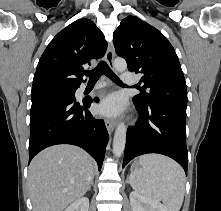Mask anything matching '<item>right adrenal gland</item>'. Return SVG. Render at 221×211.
Returning a JSON list of instances; mask_svg holds the SVG:
<instances>
[{
    "label": "right adrenal gland",
    "mask_w": 221,
    "mask_h": 211,
    "mask_svg": "<svg viewBox=\"0 0 221 211\" xmlns=\"http://www.w3.org/2000/svg\"><path fill=\"white\" fill-rule=\"evenodd\" d=\"M93 180H94V177H93V178H92V180H91V184H90L89 190H90L91 186H93V185H94Z\"/></svg>",
    "instance_id": "2a0ac1e0"
}]
</instances>
